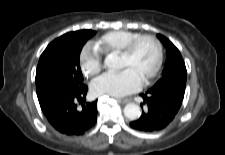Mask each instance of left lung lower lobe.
Here are the masks:
<instances>
[{
  "label": "left lung lower lobe",
  "mask_w": 225,
  "mask_h": 155,
  "mask_svg": "<svg viewBox=\"0 0 225 155\" xmlns=\"http://www.w3.org/2000/svg\"><path fill=\"white\" fill-rule=\"evenodd\" d=\"M185 89H150L141 96L148 105V110L142 116L130 123L133 129L154 132L164 129L177 114L183 98ZM143 107V104H141Z\"/></svg>",
  "instance_id": "0a47b994"
}]
</instances>
